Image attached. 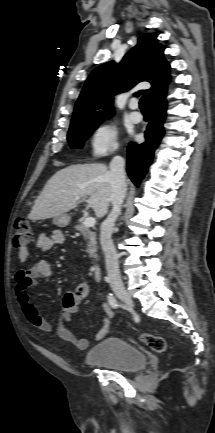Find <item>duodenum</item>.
<instances>
[{"mask_svg":"<svg viewBox=\"0 0 215 433\" xmlns=\"http://www.w3.org/2000/svg\"><path fill=\"white\" fill-rule=\"evenodd\" d=\"M92 270H93L94 279L96 281H101L102 280V270H101L100 264L95 263L92 267Z\"/></svg>","mask_w":215,"mask_h":433,"instance_id":"obj_1","label":"duodenum"}]
</instances>
